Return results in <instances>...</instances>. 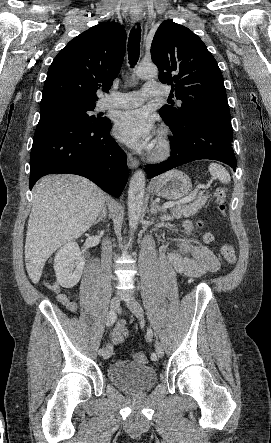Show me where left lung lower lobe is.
Masks as SVG:
<instances>
[{
    "label": "left lung lower lobe",
    "mask_w": 271,
    "mask_h": 443,
    "mask_svg": "<svg viewBox=\"0 0 271 443\" xmlns=\"http://www.w3.org/2000/svg\"><path fill=\"white\" fill-rule=\"evenodd\" d=\"M168 126L173 133V138L169 139L172 154L160 164L146 166L149 178L200 159L224 162L235 171L237 161L232 148L230 112L201 108L188 120Z\"/></svg>",
    "instance_id": "obj_1"
}]
</instances>
